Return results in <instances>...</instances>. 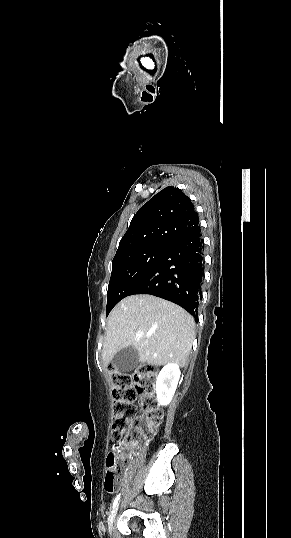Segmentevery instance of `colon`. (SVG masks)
<instances>
[{"instance_id": "5ec220e1", "label": "colon", "mask_w": 291, "mask_h": 538, "mask_svg": "<svg viewBox=\"0 0 291 538\" xmlns=\"http://www.w3.org/2000/svg\"><path fill=\"white\" fill-rule=\"evenodd\" d=\"M109 373L113 382L111 438L114 446L107 457L105 488L111 492L118 488L125 471L126 464L121 461L130 456L122 445L134 447L150 439L162 420L163 411L155 399L157 370L154 366L142 364L132 373L109 366ZM137 397L146 415L143 421L136 418Z\"/></svg>"}]
</instances>
